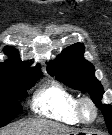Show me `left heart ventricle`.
Here are the masks:
<instances>
[{
  "instance_id": "b2bd125f",
  "label": "left heart ventricle",
  "mask_w": 112,
  "mask_h": 135,
  "mask_svg": "<svg viewBox=\"0 0 112 135\" xmlns=\"http://www.w3.org/2000/svg\"><path fill=\"white\" fill-rule=\"evenodd\" d=\"M85 115H86L88 118H91L92 115H93L92 110L87 107V108L85 109Z\"/></svg>"
}]
</instances>
